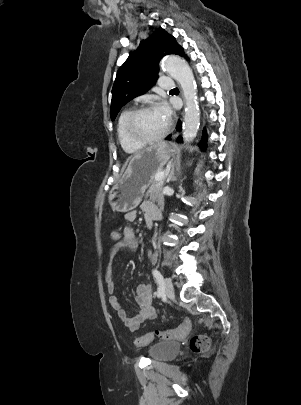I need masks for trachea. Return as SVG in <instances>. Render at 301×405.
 I'll use <instances>...</instances> for the list:
<instances>
[{"label": "trachea", "instance_id": "trachea-1", "mask_svg": "<svg viewBox=\"0 0 301 405\" xmlns=\"http://www.w3.org/2000/svg\"><path fill=\"white\" fill-rule=\"evenodd\" d=\"M173 90H178V88H174Z\"/></svg>", "mask_w": 301, "mask_h": 405}]
</instances>
